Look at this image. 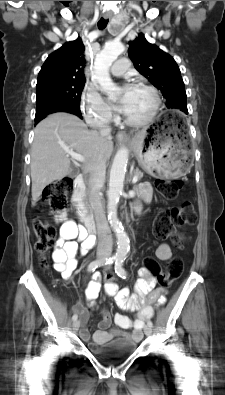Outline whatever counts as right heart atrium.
Returning a JSON list of instances; mask_svg holds the SVG:
<instances>
[{"label":"right heart atrium","instance_id":"1","mask_svg":"<svg viewBox=\"0 0 225 395\" xmlns=\"http://www.w3.org/2000/svg\"><path fill=\"white\" fill-rule=\"evenodd\" d=\"M81 108L89 124L106 125L113 119L111 109L92 85H86L83 89Z\"/></svg>","mask_w":225,"mask_h":395}]
</instances>
